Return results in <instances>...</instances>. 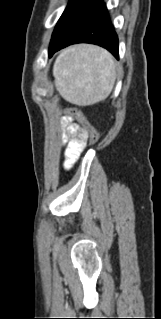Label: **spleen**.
<instances>
[{"mask_svg":"<svg viewBox=\"0 0 161 319\" xmlns=\"http://www.w3.org/2000/svg\"><path fill=\"white\" fill-rule=\"evenodd\" d=\"M53 75L60 95L68 102L87 106L111 93L116 68L112 55L91 45L69 47L57 57Z\"/></svg>","mask_w":161,"mask_h":319,"instance_id":"obj_1","label":"spleen"}]
</instances>
